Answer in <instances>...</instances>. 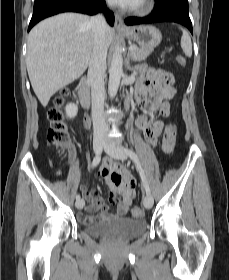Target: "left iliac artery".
<instances>
[{
    "instance_id": "1",
    "label": "left iliac artery",
    "mask_w": 229,
    "mask_h": 280,
    "mask_svg": "<svg viewBox=\"0 0 229 280\" xmlns=\"http://www.w3.org/2000/svg\"><path fill=\"white\" fill-rule=\"evenodd\" d=\"M125 152L135 163V165H136V167L139 171V174H140V177H141V180H142V184L145 188V191H146L147 194H150V188H149L147 179L145 177L144 171L142 169V166H141L138 155L132 149H128V148L125 149Z\"/></svg>"
}]
</instances>
